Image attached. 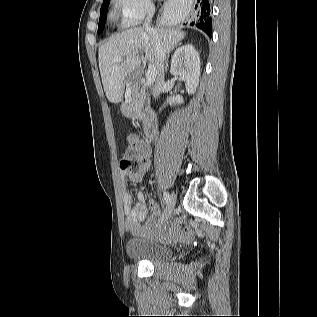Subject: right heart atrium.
<instances>
[{"label": "right heart atrium", "mask_w": 317, "mask_h": 317, "mask_svg": "<svg viewBox=\"0 0 317 317\" xmlns=\"http://www.w3.org/2000/svg\"><path fill=\"white\" fill-rule=\"evenodd\" d=\"M124 27H134L152 16L155 6L152 0H115Z\"/></svg>", "instance_id": "right-heart-atrium-1"}]
</instances>
